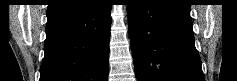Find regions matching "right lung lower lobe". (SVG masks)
Masks as SVG:
<instances>
[{
	"label": "right lung lower lobe",
	"mask_w": 237,
	"mask_h": 81,
	"mask_svg": "<svg viewBox=\"0 0 237 81\" xmlns=\"http://www.w3.org/2000/svg\"><path fill=\"white\" fill-rule=\"evenodd\" d=\"M111 4L68 0L47 8L40 81H107Z\"/></svg>",
	"instance_id": "obj_1"
}]
</instances>
